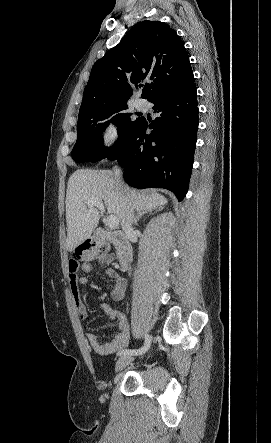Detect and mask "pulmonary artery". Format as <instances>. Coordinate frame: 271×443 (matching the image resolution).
I'll return each instance as SVG.
<instances>
[{"label": "pulmonary artery", "mask_w": 271, "mask_h": 443, "mask_svg": "<svg viewBox=\"0 0 271 443\" xmlns=\"http://www.w3.org/2000/svg\"><path fill=\"white\" fill-rule=\"evenodd\" d=\"M136 108L140 111H148L149 102L146 99L139 98L136 100Z\"/></svg>", "instance_id": "e3ab8cb5"}]
</instances>
